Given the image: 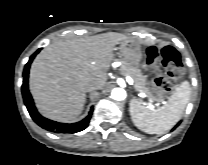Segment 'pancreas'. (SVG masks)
I'll use <instances>...</instances> for the list:
<instances>
[{
	"instance_id": "obj_1",
	"label": "pancreas",
	"mask_w": 208,
	"mask_h": 165,
	"mask_svg": "<svg viewBox=\"0 0 208 165\" xmlns=\"http://www.w3.org/2000/svg\"><path fill=\"white\" fill-rule=\"evenodd\" d=\"M121 71L123 74L129 75L134 79L135 86L139 91L146 93L149 98L156 100L146 86V78L140 73L139 69L126 61H122Z\"/></svg>"
}]
</instances>
